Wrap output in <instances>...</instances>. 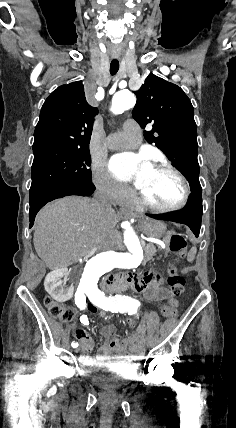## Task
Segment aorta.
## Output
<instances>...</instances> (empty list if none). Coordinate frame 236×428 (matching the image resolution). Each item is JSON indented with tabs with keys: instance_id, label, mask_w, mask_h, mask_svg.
Wrapping results in <instances>:
<instances>
[{
	"instance_id": "aorta-1",
	"label": "aorta",
	"mask_w": 236,
	"mask_h": 428,
	"mask_svg": "<svg viewBox=\"0 0 236 428\" xmlns=\"http://www.w3.org/2000/svg\"><path fill=\"white\" fill-rule=\"evenodd\" d=\"M136 99L130 91L117 92L112 99L111 111L121 114L134 107ZM124 244L126 252L105 251L92 257L86 263L80 278L79 288L83 294L99 293L100 277L114 268H137L143 261L144 252L138 236L129 223L124 227Z\"/></svg>"
}]
</instances>
